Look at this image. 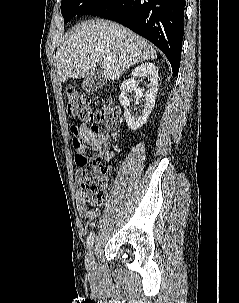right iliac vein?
Listing matches in <instances>:
<instances>
[{
    "instance_id": "63e3f726",
    "label": "right iliac vein",
    "mask_w": 239,
    "mask_h": 303,
    "mask_svg": "<svg viewBox=\"0 0 239 303\" xmlns=\"http://www.w3.org/2000/svg\"><path fill=\"white\" fill-rule=\"evenodd\" d=\"M85 266L87 269H91L94 266V253L90 250L85 258Z\"/></svg>"
}]
</instances>
